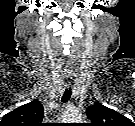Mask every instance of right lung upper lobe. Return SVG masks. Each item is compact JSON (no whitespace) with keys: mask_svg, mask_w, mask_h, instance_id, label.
Segmentation results:
<instances>
[{"mask_svg":"<svg viewBox=\"0 0 135 126\" xmlns=\"http://www.w3.org/2000/svg\"><path fill=\"white\" fill-rule=\"evenodd\" d=\"M43 117V106L37 99H34L7 113L0 122V126H40Z\"/></svg>","mask_w":135,"mask_h":126,"instance_id":"right-lung-upper-lobe-1","label":"right lung upper lobe"}]
</instances>
